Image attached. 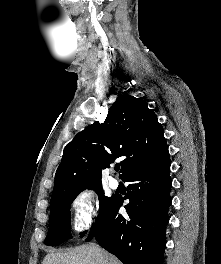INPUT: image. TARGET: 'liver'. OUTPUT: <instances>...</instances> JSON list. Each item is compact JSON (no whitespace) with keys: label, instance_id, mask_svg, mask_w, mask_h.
I'll return each instance as SVG.
<instances>
[{"label":"liver","instance_id":"6515ba94","mask_svg":"<svg viewBox=\"0 0 221 264\" xmlns=\"http://www.w3.org/2000/svg\"><path fill=\"white\" fill-rule=\"evenodd\" d=\"M41 264H122L95 244L81 245L68 252H52Z\"/></svg>","mask_w":221,"mask_h":264}]
</instances>
